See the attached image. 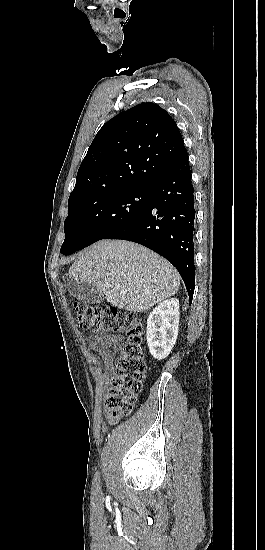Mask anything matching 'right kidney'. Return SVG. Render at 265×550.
<instances>
[{
    "mask_svg": "<svg viewBox=\"0 0 265 550\" xmlns=\"http://www.w3.org/2000/svg\"><path fill=\"white\" fill-rule=\"evenodd\" d=\"M179 301L176 298L159 303L147 319V344L151 355L165 359L171 352L178 335Z\"/></svg>",
    "mask_w": 265,
    "mask_h": 550,
    "instance_id": "1",
    "label": "right kidney"
}]
</instances>
